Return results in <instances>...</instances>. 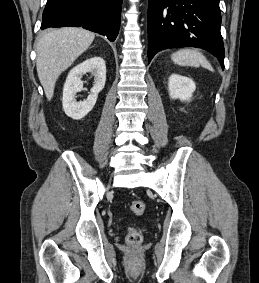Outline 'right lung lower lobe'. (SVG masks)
I'll list each match as a JSON object with an SVG mask.
<instances>
[{
	"label": "right lung lower lobe",
	"mask_w": 259,
	"mask_h": 283,
	"mask_svg": "<svg viewBox=\"0 0 259 283\" xmlns=\"http://www.w3.org/2000/svg\"><path fill=\"white\" fill-rule=\"evenodd\" d=\"M123 0H47L41 29L83 27L114 41L120 28Z\"/></svg>",
	"instance_id": "98d812e1"
}]
</instances>
